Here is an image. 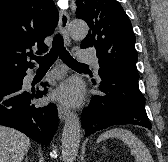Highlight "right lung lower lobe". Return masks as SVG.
<instances>
[{
    "label": "right lung lower lobe",
    "instance_id": "right-lung-lower-lobe-1",
    "mask_svg": "<svg viewBox=\"0 0 168 162\" xmlns=\"http://www.w3.org/2000/svg\"><path fill=\"white\" fill-rule=\"evenodd\" d=\"M25 76L26 72L0 83V125L15 128L48 146L58 127L57 108L54 104L45 107L33 104V99L43 97L46 89L24 90Z\"/></svg>",
    "mask_w": 168,
    "mask_h": 162
}]
</instances>
